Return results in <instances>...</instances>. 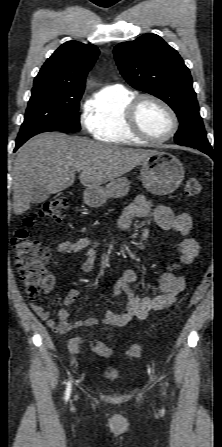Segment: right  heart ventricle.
I'll use <instances>...</instances> for the list:
<instances>
[{"mask_svg": "<svg viewBox=\"0 0 222 447\" xmlns=\"http://www.w3.org/2000/svg\"><path fill=\"white\" fill-rule=\"evenodd\" d=\"M135 94L125 87H106L87 109L85 124L94 139L107 144L133 145L146 142L126 122V109Z\"/></svg>", "mask_w": 222, "mask_h": 447, "instance_id": "1", "label": "right heart ventricle"}]
</instances>
